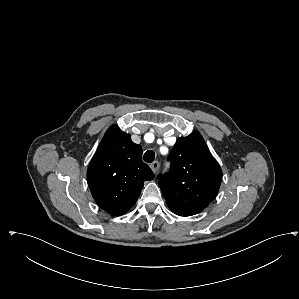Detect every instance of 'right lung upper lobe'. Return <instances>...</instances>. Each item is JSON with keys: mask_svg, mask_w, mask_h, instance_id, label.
<instances>
[{"mask_svg": "<svg viewBox=\"0 0 299 299\" xmlns=\"http://www.w3.org/2000/svg\"><path fill=\"white\" fill-rule=\"evenodd\" d=\"M141 156V146L117 125L106 131L88 167L87 181L96 203L109 214L127 212L136 203L144 181L153 179Z\"/></svg>", "mask_w": 299, "mask_h": 299, "instance_id": "cb5924a9", "label": "right lung upper lobe"}]
</instances>
